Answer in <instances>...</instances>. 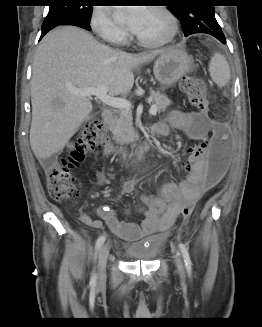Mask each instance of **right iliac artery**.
Here are the masks:
<instances>
[{"label":"right iliac artery","mask_w":262,"mask_h":327,"mask_svg":"<svg viewBox=\"0 0 262 327\" xmlns=\"http://www.w3.org/2000/svg\"><path fill=\"white\" fill-rule=\"evenodd\" d=\"M105 236H100L97 241H96V249L98 250L102 245L103 243L105 242ZM90 285L91 286H95L96 285V274L93 272L92 274V277H91V280H90Z\"/></svg>","instance_id":"obj_1"}]
</instances>
